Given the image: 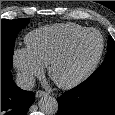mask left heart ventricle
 Returning a JSON list of instances; mask_svg holds the SVG:
<instances>
[{
	"instance_id": "b2bd125f",
	"label": "left heart ventricle",
	"mask_w": 115,
	"mask_h": 115,
	"mask_svg": "<svg viewBox=\"0 0 115 115\" xmlns=\"http://www.w3.org/2000/svg\"><path fill=\"white\" fill-rule=\"evenodd\" d=\"M99 48L100 38L96 33H89L82 37L69 56L56 68V78L65 80L79 74L92 63Z\"/></svg>"
}]
</instances>
